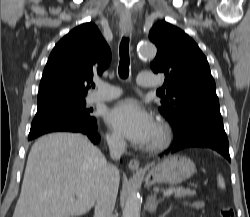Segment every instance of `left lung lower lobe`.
<instances>
[{"label": "left lung lower lobe", "mask_w": 250, "mask_h": 217, "mask_svg": "<svg viewBox=\"0 0 250 217\" xmlns=\"http://www.w3.org/2000/svg\"><path fill=\"white\" fill-rule=\"evenodd\" d=\"M174 128V144L168 152L190 147L216 150L230 161L229 143L224 131L219 106H209L198 111H188Z\"/></svg>", "instance_id": "1"}]
</instances>
